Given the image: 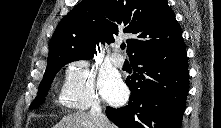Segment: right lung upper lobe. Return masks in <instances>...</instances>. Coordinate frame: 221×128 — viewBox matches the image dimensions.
<instances>
[{"mask_svg": "<svg viewBox=\"0 0 221 128\" xmlns=\"http://www.w3.org/2000/svg\"><path fill=\"white\" fill-rule=\"evenodd\" d=\"M126 34L130 60L176 43L182 36L166 0H83L58 24L48 64L65 59L89 60L99 43Z\"/></svg>", "mask_w": 221, "mask_h": 128, "instance_id": "1", "label": "right lung upper lobe"}]
</instances>
